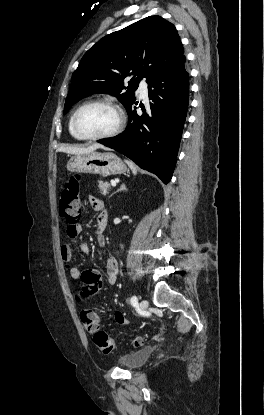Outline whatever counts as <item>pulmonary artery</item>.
Wrapping results in <instances>:
<instances>
[{"label": "pulmonary artery", "instance_id": "e3ab8cb5", "mask_svg": "<svg viewBox=\"0 0 264 415\" xmlns=\"http://www.w3.org/2000/svg\"><path fill=\"white\" fill-rule=\"evenodd\" d=\"M138 92L140 94L141 97H146L148 94V87L145 81H141L139 83V87H138Z\"/></svg>", "mask_w": 264, "mask_h": 415}]
</instances>
